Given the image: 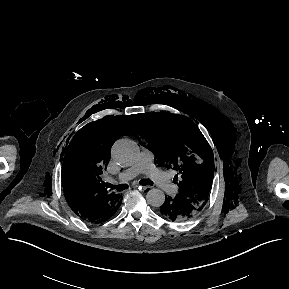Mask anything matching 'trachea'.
<instances>
[{"mask_svg":"<svg viewBox=\"0 0 289 289\" xmlns=\"http://www.w3.org/2000/svg\"><path fill=\"white\" fill-rule=\"evenodd\" d=\"M139 184L145 186V185H153V182L149 179H142L140 180ZM105 186L107 188H111V189H116L117 191H123L125 189L128 188V185L127 184H120V185H112V184H108V183H105Z\"/></svg>","mask_w":289,"mask_h":289,"instance_id":"obj_1","label":"trachea"}]
</instances>
